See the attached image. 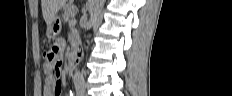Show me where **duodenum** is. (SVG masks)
I'll use <instances>...</instances> for the list:
<instances>
[{"instance_id":"1","label":"duodenum","mask_w":232,"mask_h":96,"mask_svg":"<svg viewBox=\"0 0 232 96\" xmlns=\"http://www.w3.org/2000/svg\"><path fill=\"white\" fill-rule=\"evenodd\" d=\"M81 55V51L78 45L71 52L69 63H68V72L72 73L78 63L79 57Z\"/></svg>"}]
</instances>
